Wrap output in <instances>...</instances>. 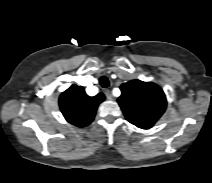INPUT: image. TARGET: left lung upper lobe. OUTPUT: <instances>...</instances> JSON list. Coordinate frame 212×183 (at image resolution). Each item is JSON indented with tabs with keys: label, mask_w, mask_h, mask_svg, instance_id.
Here are the masks:
<instances>
[{
	"label": "left lung upper lobe",
	"mask_w": 212,
	"mask_h": 183,
	"mask_svg": "<svg viewBox=\"0 0 212 183\" xmlns=\"http://www.w3.org/2000/svg\"><path fill=\"white\" fill-rule=\"evenodd\" d=\"M120 89L118 103L126 119L139 128H151L166 109L165 94L153 82L131 80Z\"/></svg>",
	"instance_id": "1"
}]
</instances>
